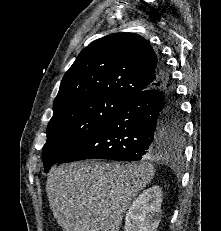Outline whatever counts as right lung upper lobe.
Returning a JSON list of instances; mask_svg holds the SVG:
<instances>
[{"instance_id":"obj_1","label":"right lung upper lobe","mask_w":221,"mask_h":231,"mask_svg":"<svg viewBox=\"0 0 221 231\" xmlns=\"http://www.w3.org/2000/svg\"><path fill=\"white\" fill-rule=\"evenodd\" d=\"M160 62L150 43L138 34L102 37L84 48L65 73L53 111L90 96L128 99L158 82Z\"/></svg>"}]
</instances>
